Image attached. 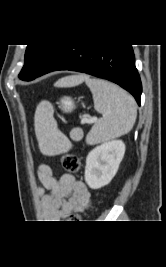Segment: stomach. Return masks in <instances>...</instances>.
Wrapping results in <instances>:
<instances>
[{
  "label": "stomach",
  "mask_w": 166,
  "mask_h": 267,
  "mask_svg": "<svg viewBox=\"0 0 166 267\" xmlns=\"http://www.w3.org/2000/svg\"><path fill=\"white\" fill-rule=\"evenodd\" d=\"M75 103L74 100L71 97L68 96H64L61 100H60V108L64 111V112H71L75 109Z\"/></svg>",
  "instance_id": "stomach-1"
}]
</instances>
